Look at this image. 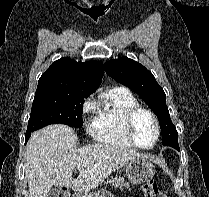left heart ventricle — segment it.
<instances>
[{"label": "left heart ventricle", "mask_w": 209, "mask_h": 197, "mask_svg": "<svg viewBox=\"0 0 209 197\" xmlns=\"http://www.w3.org/2000/svg\"><path fill=\"white\" fill-rule=\"evenodd\" d=\"M134 136L141 146H150L155 140V126L152 118L145 112L137 114L134 121Z\"/></svg>", "instance_id": "obj_1"}]
</instances>
